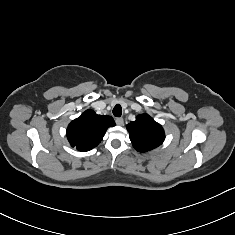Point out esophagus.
Here are the masks:
<instances>
[{
    "mask_svg": "<svg viewBox=\"0 0 235 235\" xmlns=\"http://www.w3.org/2000/svg\"><path fill=\"white\" fill-rule=\"evenodd\" d=\"M115 122H116V124L119 125V126H122V125L124 124L123 118H116V119H115Z\"/></svg>",
    "mask_w": 235,
    "mask_h": 235,
    "instance_id": "34e87169",
    "label": "esophagus"
}]
</instances>
